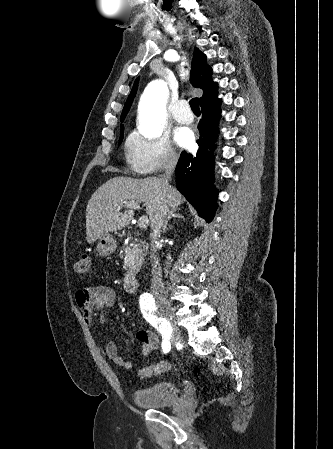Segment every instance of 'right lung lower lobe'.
Instances as JSON below:
<instances>
[{
    "label": "right lung lower lobe",
    "mask_w": 333,
    "mask_h": 449,
    "mask_svg": "<svg viewBox=\"0 0 333 449\" xmlns=\"http://www.w3.org/2000/svg\"><path fill=\"white\" fill-rule=\"evenodd\" d=\"M202 119L198 124L199 150L195 155L181 153L176 167V186L200 217L210 222L216 211L218 192L213 186V156L208 148L214 146L220 118V99L217 90L200 101Z\"/></svg>",
    "instance_id": "obj_1"
}]
</instances>
